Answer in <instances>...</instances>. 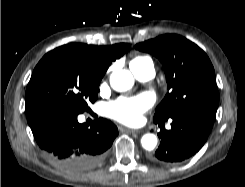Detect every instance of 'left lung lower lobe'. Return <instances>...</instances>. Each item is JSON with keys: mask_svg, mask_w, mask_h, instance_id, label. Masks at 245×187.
Returning a JSON list of instances; mask_svg holds the SVG:
<instances>
[{"mask_svg": "<svg viewBox=\"0 0 245 187\" xmlns=\"http://www.w3.org/2000/svg\"><path fill=\"white\" fill-rule=\"evenodd\" d=\"M215 115L214 112H196L171 118V130L162 129L158 133L160 146L151 160L172 165L193 156L206 142ZM154 122L162 126L165 121Z\"/></svg>", "mask_w": 245, "mask_h": 187, "instance_id": "1", "label": "left lung lower lobe"}]
</instances>
